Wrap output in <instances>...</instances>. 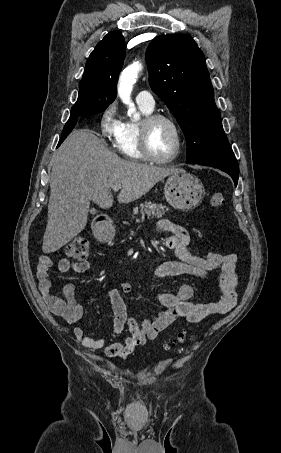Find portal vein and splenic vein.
<instances>
[{
	"mask_svg": "<svg viewBox=\"0 0 281 453\" xmlns=\"http://www.w3.org/2000/svg\"><path fill=\"white\" fill-rule=\"evenodd\" d=\"M114 192H117V190H119V188H121V184H114V186H112Z\"/></svg>",
	"mask_w": 281,
	"mask_h": 453,
	"instance_id": "portal-vein-and-splenic-vein-1",
	"label": "portal vein and splenic vein"
}]
</instances>
